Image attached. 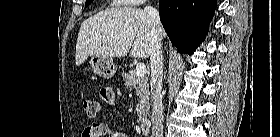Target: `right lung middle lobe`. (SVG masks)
<instances>
[{"label":"right lung middle lobe","mask_w":280,"mask_h":137,"mask_svg":"<svg viewBox=\"0 0 280 137\" xmlns=\"http://www.w3.org/2000/svg\"><path fill=\"white\" fill-rule=\"evenodd\" d=\"M93 0H86L85 2V7H87L88 5H90V3L92 2Z\"/></svg>","instance_id":"dd1d6c3e"}]
</instances>
